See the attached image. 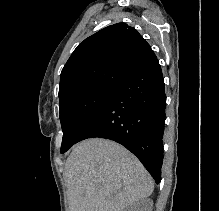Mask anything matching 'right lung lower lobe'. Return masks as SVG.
<instances>
[{"mask_svg":"<svg viewBox=\"0 0 219 211\" xmlns=\"http://www.w3.org/2000/svg\"><path fill=\"white\" fill-rule=\"evenodd\" d=\"M166 95L161 66L154 60L116 85L76 139L106 138L120 143L161 181Z\"/></svg>","mask_w":219,"mask_h":211,"instance_id":"obj_1","label":"right lung lower lobe"}]
</instances>
